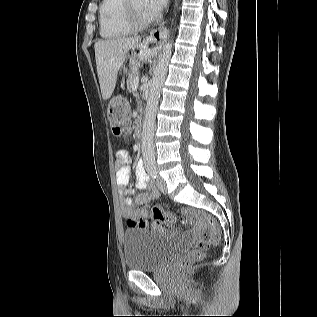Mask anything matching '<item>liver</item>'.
I'll return each instance as SVG.
<instances>
[{
	"label": "liver",
	"instance_id": "obj_1",
	"mask_svg": "<svg viewBox=\"0 0 317 317\" xmlns=\"http://www.w3.org/2000/svg\"><path fill=\"white\" fill-rule=\"evenodd\" d=\"M140 37H123L99 40L95 43V59L102 98L111 97L117 81V74L122 67L127 52L140 46Z\"/></svg>",
	"mask_w": 317,
	"mask_h": 317
}]
</instances>
